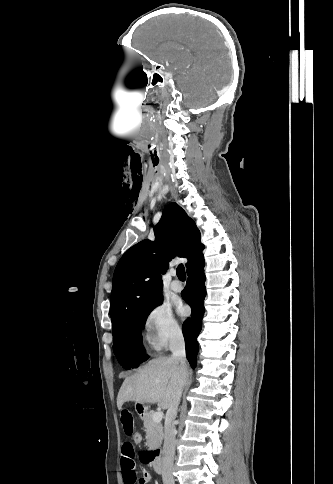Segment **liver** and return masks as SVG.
<instances>
[{
	"instance_id": "liver-1",
	"label": "liver",
	"mask_w": 333,
	"mask_h": 484,
	"mask_svg": "<svg viewBox=\"0 0 333 484\" xmlns=\"http://www.w3.org/2000/svg\"><path fill=\"white\" fill-rule=\"evenodd\" d=\"M187 368L170 357L151 359L137 372L126 377L117 396L119 410L125 402L139 404L157 403L161 409H169L181 385L186 381Z\"/></svg>"
}]
</instances>
